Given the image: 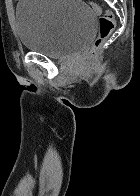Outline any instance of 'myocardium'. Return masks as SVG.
<instances>
[{
	"label": "myocardium",
	"instance_id": "1",
	"mask_svg": "<svg viewBox=\"0 0 140 196\" xmlns=\"http://www.w3.org/2000/svg\"><path fill=\"white\" fill-rule=\"evenodd\" d=\"M38 192H45V191H38ZM53 192H61V191H53Z\"/></svg>",
	"mask_w": 140,
	"mask_h": 196
}]
</instances>
